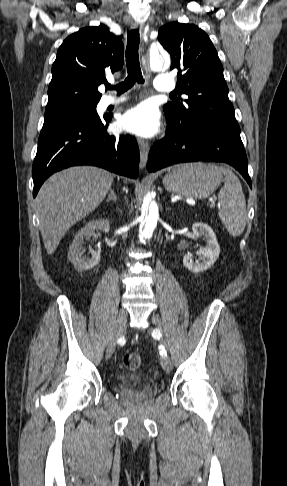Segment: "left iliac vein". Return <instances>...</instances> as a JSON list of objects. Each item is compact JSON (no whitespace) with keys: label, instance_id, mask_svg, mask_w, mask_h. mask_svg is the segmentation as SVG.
Here are the masks:
<instances>
[{"label":"left iliac vein","instance_id":"obj_1","mask_svg":"<svg viewBox=\"0 0 287 486\" xmlns=\"http://www.w3.org/2000/svg\"><path fill=\"white\" fill-rule=\"evenodd\" d=\"M152 322L155 324L156 326V330H155V334L157 336H161V321L159 320V318L153 316L152 317ZM161 343L165 346H167V341L165 338L161 337ZM162 368L164 369V371L166 372H170L171 369H172V362L169 358V356H167V354L163 357L162 359Z\"/></svg>","mask_w":287,"mask_h":486}]
</instances>
